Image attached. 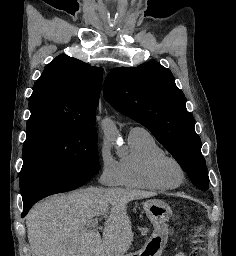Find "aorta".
Returning <instances> with one entry per match:
<instances>
[{"label": "aorta", "mask_w": 236, "mask_h": 256, "mask_svg": "<svg viewBox=\"0 0 236 256\" xmlns=\"http://www.w3.org/2000/svg\"><path fill=\"white\" fill-rule=\"evenodd\" d=\"M102 130L107 140L111 142L117 141V128L115 123L110 118H105L102 121Z\"/></svg>", "instance_id": "762f6f07"}]
</instances>
